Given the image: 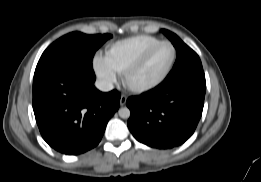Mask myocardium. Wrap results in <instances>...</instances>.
<instances>
[{"instance_id": "1", "label": "myocardium", "mask_w": 261, "mask_h": 182, "mask_svg": "<svg viewBox=\"0 0 261 182\" xmlns=\"http://www.w3.org/2000/svg\"><path fill=\"white\" fill-rule=\"evenodd\" d=\"M170 46L173 50V57L172 60L165 70V72L155 81L142 85V86H136L131 83L132 76L146 63V61L150 58V56L161 46ZM177 60V49L176 47L169 41H160L157 44L150 47L148 50H146L134 63H132L123 73V83L124 85L132 92L134 93H144L151 91L158 86H160L162 83L165 82V80L169 77L170 73L172 72L174 65Z\"/></svg>"}]
</instances>
